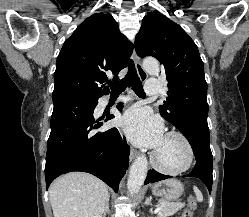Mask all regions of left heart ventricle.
<instances>
[{"label":"left heart ventricle","instance_id":"left-heart-ventricle-1","mask_svg":"<svg viewBox=\"0 0 249 217\" xmlns=\"http://www.w3.org/2000/svg\"><path fill=\"white\" fill-rule=\"evenodd\" d=\"M156 151L160 162L168 167L181 165L186 155L183 145L176 138H164Z\"/></svg>","mask_w":249,"mask_h":217}]
</instances>
